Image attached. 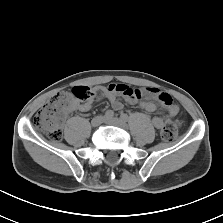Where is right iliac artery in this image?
I'll use <instances>...</instances> for the list:
<instances>
[{
	"instance_id": "82829eb1",
	"label": "right iliac artery",
	"mask_w": 223,
	"mask_h": 223,
	"mask_svg": "<svg viewBox=\"0 0 223 223\" xmlns=\"http://www.w3.org/2000/svg\"><path fill=\"white\" fill-rule=\"evenodd\" d=\"M113 116H114V112L112 110H107L104 115V117L107 119L112 118Z\"/></svg>"
}]
</instances>
